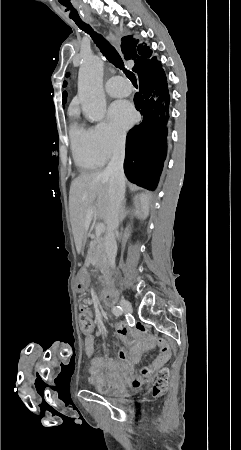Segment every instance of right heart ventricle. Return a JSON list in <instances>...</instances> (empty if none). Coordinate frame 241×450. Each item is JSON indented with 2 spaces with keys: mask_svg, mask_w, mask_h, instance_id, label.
Masks as SVG:
<instances>
[{
  "mask_svg": "<svg viewBox=\"0 0 241 450\" xmlns=\"http://www.w3.org/2000/svg\"><path fill=\"white\" fill-rule=\"evenodd\" d=\"M94 128L73 122L69 129L73 157L81 168H95L105 163V160L101 159L93 150L92 132Z\"/></svg>",
  "mask_w": 241,
  "mask_h": 450,
  "instance_id": "e07e8e85",
  "label": "right heart ventricle"
}]
</instances>
